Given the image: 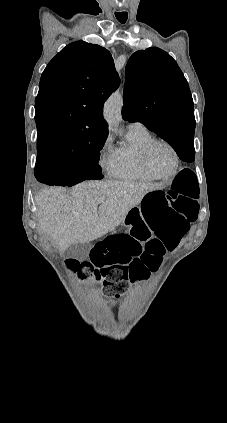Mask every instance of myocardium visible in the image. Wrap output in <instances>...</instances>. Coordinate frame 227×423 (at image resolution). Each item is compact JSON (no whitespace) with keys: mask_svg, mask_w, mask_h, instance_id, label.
<instances>
[{"mask_svg":"<svg viewBox=\"0 0 227 423\" xmlns=\"http://www.w3.org/2000/svg\"><path fill=\"white\" fill-rule=\"evenodd\" d=\"M155 145H163L166 148H168L173 157H174V166L172 171L167 174V175H158L156 174L150 167L149 162H148V155L150 150L155 146ZM138 160H139V165L141 167V169L143 170V172L151 179H155V180H169L171 178H173L179 171L180 169V156L178 151L176 150V148L169 143L166 140L163 139H156V138H151L150 140H148L146 143H144L142 145V147L140 148L139 152H138Z\"/></svg>","mask_w":227,"mask_h":423,"instance_id":"1","label":"myocardium"}]
</instances>
